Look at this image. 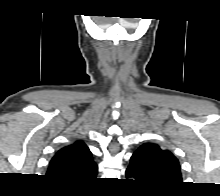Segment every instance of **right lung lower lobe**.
<instances>
[{
    "mask_svg": "<svg viewBox=\"0 0 220 196\" xmlns=\"http://www.w3.org/2000/svg\"><path fill=\"white\" fill-rule=\"evenodd\" d=\"M93 178H95V177H93ZM60 183L66 185V186H79V185H81V184H69V183H64V182H60Z\"/></svg>",
    "mask_w": 220,
    "mask_h": 196,
    "instance_id": "obj_1",
    "label": "right lung lower lobe"
}]
</instances>
